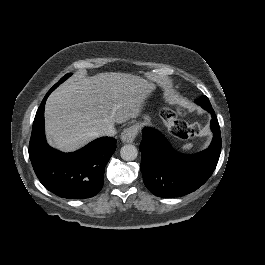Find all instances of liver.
Returning <instances> with one entry per match:
<instances>
[{
	"label": "liver",
	"mask_w": 265,
	"mask_h": 265,
	"mask_svg": "<svg viewBox=\"0 0 265 265\" xmlns=\"http://www.w3.org/2000/svg\"><path fill=\"white\" fill-rule=\"evenodd\" d=\"M155 88L154 83L127 73L73 76L46 101L48 143L62 151L76 150L102 136L108 124L136 118Z\"/></svg>",
	"instance_id": "liver-1"
}]
</instances>
